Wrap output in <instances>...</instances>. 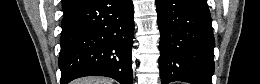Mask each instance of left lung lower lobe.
<instances>
[{
  "instance_id": "obj_1",
  "label": "left lung lower lobe",
  "mask_w": 260,
  "mask_h": 84,
  "mask_svg": "<svg viewBox=\"0 0 260 84\" xmlns=\"http://www.w3.org/2000/svg\"><path fill=\"white\" fill-rule=\"evenodd\" d=\"M162 84H212L215 45L206 0H156Z\"/></svg>"
}]
</instances>
